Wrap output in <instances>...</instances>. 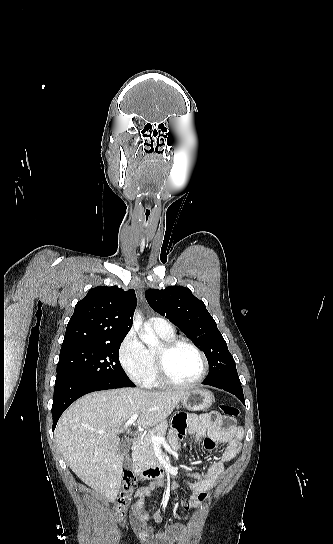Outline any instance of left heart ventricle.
Instances as JSON below:
<instances>
[{
    "label": "left heart ventricle",
    "mask_w": 333,
    "mask_h": 544,
    "mask_svg": "<svg viewBox=\"0 0 333 544\" xmlns=\"http://www.w3.org/2000/svg\"><path fill=\"white\" fill-rule=\"evenodd\" d=\"M167 369L174 380L186 383L199 377L202 372V361L193 349L180 346L168 356Z\"/></svg>",
    "instance_id": "1"
}]
</instances>
